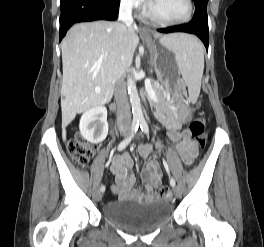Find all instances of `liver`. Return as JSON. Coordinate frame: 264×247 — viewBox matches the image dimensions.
Returning a JSON list of instances; mask_svg holds the SVG:
<instances>
[{"instance_id": "liver-1", "label": "liver", "mask_w": 264, "mask_h": 247, "mask_svg": "<svg viewBox=\"0 0 264 247\" xmlns=\"http://www.w3.org/2000/svg\"><path fill=\"white\" fill-rule=\"evenodd\" d=\"M137 32L134 26L108 21L79 23L68 31L61 43L64 140L65 129L77 113L110 102L117 79L132 64L139 43ZM153 35L156 38L161 36L158 33ZM176 35L163 37L171 39Z\"/></svg>"}]
</instances>
